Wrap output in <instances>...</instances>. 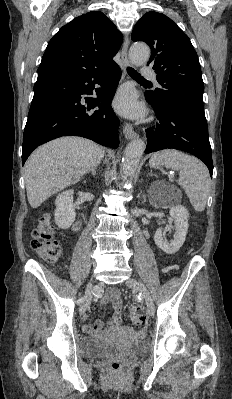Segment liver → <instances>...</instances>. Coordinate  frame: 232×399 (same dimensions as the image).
Segmentation results:
<instances>
[{"mask_svg": "<svg viewBox=\"0 0 232 399\" xmlns=\"http://www.w3.org/2000/svg\"><path fill=\"white\" fill-rule=\"evenodd\" d=\"M101 146L84 138H58L37 148L25 164V184L31 207L77 184L81 176L100 164Z\"/></svg>", "mask_w": 232, "mask_h": 399, "instance_id": "6515ba94", "label": "liver"}]
</instances>
